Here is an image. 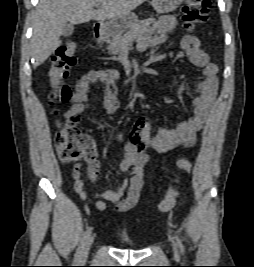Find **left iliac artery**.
<instances>
[{
  "label": "left iliac artery",
  "mask_w": 254,
  "mask_h": 267,
  "mask_svg": "<svg viewBox=\"0 0 254 267\" xmlns=\"http://www.w3.org/2000/svg\"><path fill=\"white\" fill-rule=\"evenodd\" d=\"M175 239H176L178 247L180 248V251L183 253L184 252V246H183L180 238L177 235H175Z\"/></svg>",
  "instance_id": "obj_1"
}]
</instances>
